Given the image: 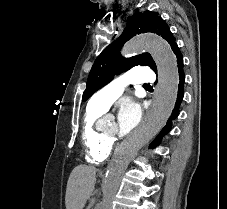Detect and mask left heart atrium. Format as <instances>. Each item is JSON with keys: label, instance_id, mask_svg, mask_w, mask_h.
Instances as JSON below:
<instances>
[{"label": "left heart atrium", "instance_id": "obj_1", "mask_svg": "<svg viewBox=\"0 0 227 209\" xmlns=\"http://www.w3.org/2000/svg\"><path fill=\"white\" fill-rule=\"evenodd\" d=\"M142 116L141 106L132 99L120 102L118 111V126L121 134L130 133L140 122Z\"/></svg>", "mask_w": 227, "mask_h": 209}]
</instances>
